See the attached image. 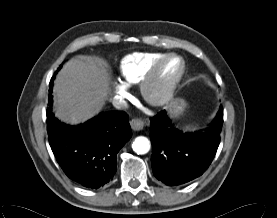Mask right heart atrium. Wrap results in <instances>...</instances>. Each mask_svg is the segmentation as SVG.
<instances>
[{
    "label": "right heart atrium",
    "instance_id": "obj_1",
    "mask_svg": "<svg viewBox=\"0 0 277 218\" xmlns=\"http://www.w3.org/2000/svg\"><path fill=\"white\" fill-rule=\"evenodd\" d=\"M117 89H118V91H119L120 93H124L126 87H125V85H124L123 83L118 82V83H117Z\"/></svg>",
    "mask_w": 277,
    "mask_h": 218
}]
</instances>
